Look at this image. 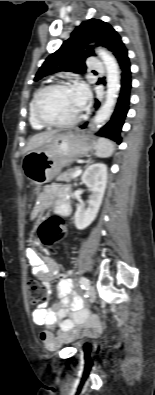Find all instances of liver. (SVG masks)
<instances>
[{
  "label": "liver",
  "mask_w": 155,
  "mask_h": 395,
  "mask_svg": "<svg viewBox=\"0 0 155 395\" xmlns=\"http://www.w3.org/2000/svg\"><path fill=\"white\" fill-rule=\"evenodd\" d=\"M56 131H46L32 136L25 148V153L39 149L50 142L51 138L56 135Z\"/></svg>",
  "instance_id": "6515ba94"
}]
</instances>
